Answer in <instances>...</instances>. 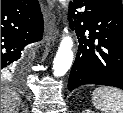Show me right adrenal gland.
Here are the masks:
<instances>
[{"instance_id":"2a0ac1e0","label":"right adrenal gland","mask_w":123,"mask_h":113,"mask_svg":"<svg viewBox=\"0 0 123 113\" xmlns=\"http://www.w3.org/2000/svg\"><path fill=\"white\" fill-rule=\"evenodd\" d=\"M22 106H24V104H22ZM28 112V110H27V108L23 111V113H27Z\"/></svg>"}]
</instances>
